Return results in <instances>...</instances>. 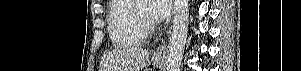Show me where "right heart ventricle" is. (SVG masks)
I'll list each match as a JSON object with an SVG mask.
<instances>
[{
	"mask_svg": "<svg viewBox=\"0 0 301 71\" xmlns=\"http://www.w3.org/2000/svg\"><path fill=\"white\" fill-rule=\"evenodd\" d=\"M108 31L111 42L119 48L143 45L147 40L131 9L130 0H115L108 14Z\"/></svg>",
	"mask_w": 301,
	"mask_h": 71,
	"instance_id": "1",
	"label": "right heart ventricle"
}]
</instances>
